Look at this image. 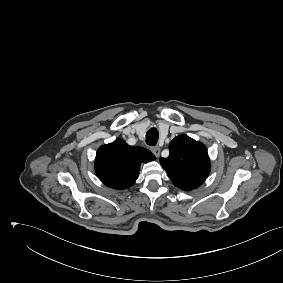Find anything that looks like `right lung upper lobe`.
<instances>
[{"label": "right lung upper lobe", "mask_w": 283, "mask_h": 283, "mask_svg": "<svg viewBox=\"0 0 283 283\" xmlns=\"http://www.w3.org/2000/svg\"><path fill=\"white\" fill-rule=\"evenodd\" d=\"M147 149L128 145L122 139L101 146L95 159V171L106 186L117 190L132 186L142 162L155 160Z\"/></svg>", "instance_id": "cb5924a9"}]
</instances>
